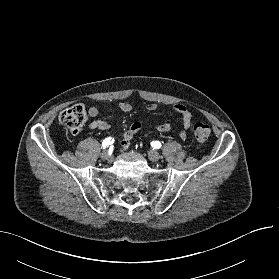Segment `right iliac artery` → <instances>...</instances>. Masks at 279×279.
<instances>
[{
	"label": "right iliac artery",
	"instance_id": "right-iliac-artery-1",
	"mask_svg": "<svg viewBox=\"0 0 279 279\" xmlns=\"http://www.w3.org/2000/svg\"><path fill=\"white\" fill-rule=\"evenodd\" d=\"M114 142V140L111 137H108L106 139L103 140L102 142V147L103 149H105L106 147H108L110 144H112Z\"/></svg>",
	"mask_w": 279,
	"mask_h": 279
}]
</instances>
